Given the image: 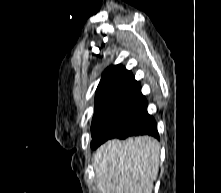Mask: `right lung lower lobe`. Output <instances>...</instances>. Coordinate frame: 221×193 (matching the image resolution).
<instances>
[{"label":"right lung lower lobe","mask_w":221,"mask_h":193,"mask_svg":"<svg viewBox=\"0 0 221 193\" xmlns=\"http://www.w3.org/2000/svg\"><path fill=\"white\" fill-rule=\"evenodd\" d=\"M138 135H150L159 139L156 122L152 116H149L142 124H140L139 126L133 128L132 130L126 132L125 134L117 138L125 139L129 136H138Z\"/></svg>","instance_id":"98d812e1"}]
</instances>
